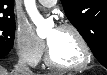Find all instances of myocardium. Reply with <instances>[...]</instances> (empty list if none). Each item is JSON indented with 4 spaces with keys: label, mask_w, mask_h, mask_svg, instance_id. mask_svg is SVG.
Returning a JSON list of instances; mask_svg holds the SVG:
<instances>
[{
    "label": "myocardium",
    "mask_w": 107,
    "mask_h": 75,
    "mask_svg": "<svg viewBox=\"0 0 107 75\" xmlns=\"http://www.w3.org/2000/svg\"><path fill=\"white\" fill-rule=\"evenodd\" d=\"M58 30H67L71 31L76 38L78 39L79 43L81 44L83 51H84V59L81 63L76 65H62L57 63L51 53L50 46L48 44L47 46V53H46V63L47 65L55 70L59 71H75V70H81L88 66L92 60V51L91 48L84 37V35L81 33V31L74 25L70 23H63L58 27Z\"/></svg>",
    "instance_id": "f54148a6"
}]
</instances>
